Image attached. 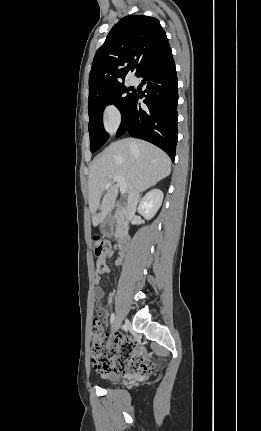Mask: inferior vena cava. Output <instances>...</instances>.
<instances>
[{"label": "inferior vena cava", "mask_w": 261, "mask_h": 431, "mask_svg": "<svg viewBox=\"0 0 261 431\" xmlns=\"http://www.w3.org/2000/svg\"><path fill=\"white\" fill-rule=\"evenodd\" d=\"M139 200H140V194L138 191H135L128 196L127 214L129 219H132L134 217Z\"/></svg>", "instance_id": "1"}]
</instances>
